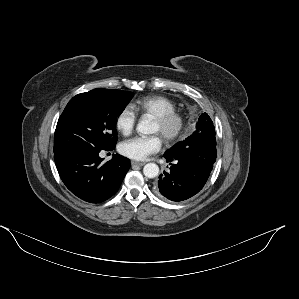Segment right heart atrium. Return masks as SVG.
<instances>
[{
  "mask_svg": "<svg viewBox=\"0 0 299 299\" xmlns=\"http://www.w3.org/2000/svg\"><path fill=\"white\" fill-rule=\"evenodd\" d=\"M136 121L137 118L134 110L129 106H125L118 112L114 126L118 133L127 136L134 130Z\"/></svg>",
  "mask_w": 299,
  "mask_h": 299,
  "instance_id": "d8ad5b80",
  "label": "right heart atrium"
}]
</instances>
